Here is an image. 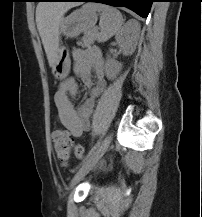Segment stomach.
<instances>
[{"instance_id": "1", "label": "stomach", "mask_w": 202, "mask_h": 217, "mask_svg": "<svg viewBox=\"0 0 202 217\" xmlns=\"http://www.w3.org/2000/svg\"><path fill=\"white\" fill-rule=\"evenodd\" d=\"M97 19L96 11L84 6L61 20L59 33L66 37H75L81 32L91 30L95 26ZM52 72L57 79H64L68 76L70 72V57L69 51L65 46L58 47L56 62Z\"/></svg>"}]
</instances>
